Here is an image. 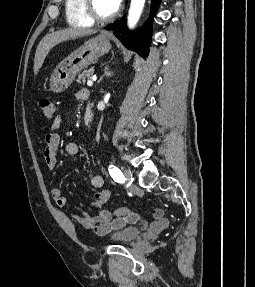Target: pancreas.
Returning a JSON list of instances; mask_svg holds the SVG:
<instances>
[{"label":"pancreas","mask_w":255,"mask_h":287,"mask_svg":"<svg viewBox=\"0 0 255 287\" xmlns=\"http://www.w3.org/2000/svg\"><path fill=\"white\" fill-rule=\"evenodd\" d=\"M95 70L94 68H90V70H84V72H82V74H79L76 82H78V84H84V82H86V80H91V78H93V74H94Z\"/></svg>","instance_id":"pancreas-1"}]
</instances>
